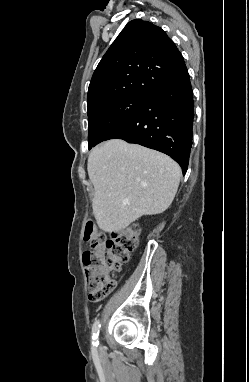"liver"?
<instances>
[{"mask_svg":"<svg viewBox=\"0 0 249 382\" xmlns=\"http://www.w3.org/2000/svg\"><path fill=\"white\" fill-rule=\"evenodd\" d=\"M87 169L95 190L93 214L105 232L122 231L143 215L163 213L181 177V168L169 156L121 139L96 146Z\"/></svg>","mask_w":249,"mask_h":382,"instance_id":"obj_1","label":"liver"}]
</instances>
